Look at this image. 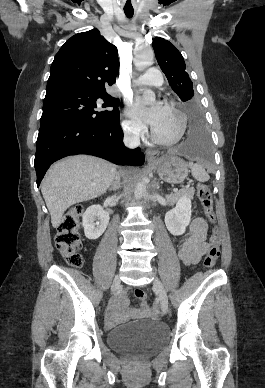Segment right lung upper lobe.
Listing matches in <instances>:
<instances>
[{
  "label": "right lung upper lobe",
  "instance_id": "obj_1",
  "mask_svg": "<svg viewBox=\"0 0 265 388\" xmlns=\"http://www.w3.org/2000/svg\"><path fill=\"white\" fill-rule=\"evenodd\" d=\"M118 50L97 29L78 33L60 48L51 65L46 96L60 92H96L115 82Z\"/></svg>",
  "mask_w": 265,
  "mask_h": 388
}]
</instances>
